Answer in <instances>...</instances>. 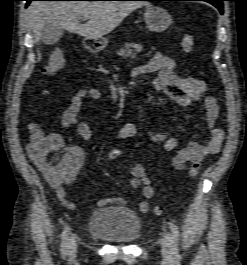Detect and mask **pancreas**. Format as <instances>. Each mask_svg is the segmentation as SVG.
<instances>
[{
	"mask_svg": "<svg viewBox=\"0 0 247 265\" xmlns=\"http://www.w3.org/2000/svg\"><path fill=\"white\" fill-rule=\"evenodd\" d=\"M141 49H138L135 44L133 43H126L123 48H121L119 51H117V55L123 57V58H130V59H136L137 53H139Z\"/></svg>",
	"mask_w": 247,
	"mask_h": 265,
	"instance_id": "1",
	"label": "pancreas"
}]
</instances>
